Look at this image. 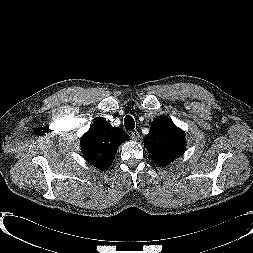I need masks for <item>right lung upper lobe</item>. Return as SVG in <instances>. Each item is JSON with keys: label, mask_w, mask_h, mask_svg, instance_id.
Returning <instances> with one entry per match:
<instances>
[{"label": "right lung upper lobe", "mask_w": 253, "mask_h": 253, "mask_svg": "<svg viewBox=\"0 0 253 253\" xmlns=\"http://www.w3.org/2000/svg\"><path fill=\"white\" fill-rule=\"evenodd\" d=\"M127 139L129 135L123 129L99 120L81 138V150L90 164L106 170L112 164L119 145Z\"/></svg>", "instance_id": "obj_1"}]
</instances>
